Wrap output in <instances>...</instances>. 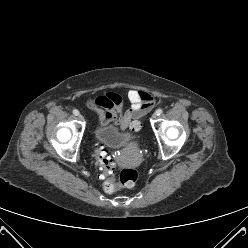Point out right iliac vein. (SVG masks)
I'll return each instance as SVG.
<instances>
[{
	"instance_id": "obj_1",
	"label": "right iliac vein",
	"mask_w": 248,
	"mask_h": 248,
	"mask_svg": "<svg viewBox=\"0 0 248 248\" xmlns=\"http://www.w3.org/2000/svg\"><path fill=\"white\" fill-rule=\"evenodd\" d=\"M78 118H79L80 120H83V119H84V117H83L81 114H78Z\"/></svg>"
}]
</instances>
